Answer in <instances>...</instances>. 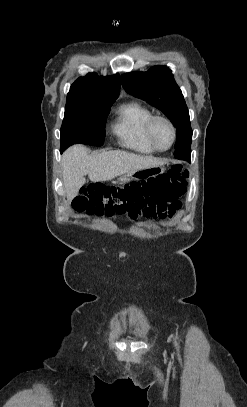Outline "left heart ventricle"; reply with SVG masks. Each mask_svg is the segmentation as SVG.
Here are the masks:
<instances>
[{
    "instance_id": "left-heart-ventricle-1",
    "label": "left heart ventricle",
    "mask_w": 247,
    "mask_h": 407,
    "mask_svg": "<svg viewBox=\"0 0 247 407\" xmlns=\"http://www.w3.org/2000/svg\"><path fill=\"white\" fill-rule=\"evenodd\" d=\"M153 135L155 141L161 148H167L172 141L170 127L163 121H158L154 125Z\"/></svg>"
}]
</instances>
